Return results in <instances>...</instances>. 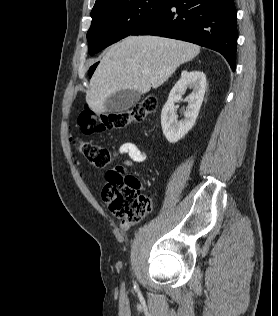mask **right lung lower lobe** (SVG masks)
I'll return each mask as SVG.
<instances>
[{
  "label": "right lung lower lobe",
  "instance_id": "98d812e1",
  "mask_svg": "<svg viewBox=\"0 0 278 316\" xmlns=\"http://www.w3.org/2000/svg\"><path fill=\"white\" fill-rule=\"evenodd\" d=\"M234 0H165L131 35L192 42L221 53L235 70L237 25Z\"/></svg>",
  "mask_w": 278,
  "mask_h": 316
}]
</instances>
